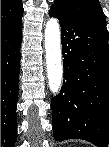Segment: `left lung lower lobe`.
Returning a JSON list of instances; mask_svg holds the SVG:
<instances>
[{"mask_svg": "<svg viewBox=\"0 0 109 147\" xmlns=\"http://www.w3.org/2000/svg\"><path fill=\"white\" fill-rule=\"evenodd\" d=\"M59 20L64 77L79 72L81 87L71 93L65 81L51 101L56 141L82 139L98 147L109 142V38L67 13L51 7ZM65 79V78H64Z\"/></svg>", "mask_w": 109, "mask_h": 147, "instance_id": "left-lung-lower-lobe-1", "label": "left lung lower lobe"}]
</instances>
